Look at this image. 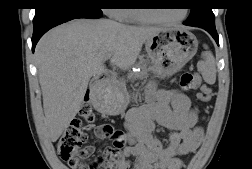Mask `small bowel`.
<instances>
[{
    "mask_svg": "<svg viewBox=\"0 0 252 169\" xmlns=\"http://www.w3.org/2000/svg\"><path fill=\"white\" fill-rule=\"evenodd\" d=\"M146 101L145 105L127 112L122 138L126 147L109 148L107 169H130V158L135 159L133 169H181L179 157L194 152L200 145L203 131L196 127L197 114L186 93L149 85ZM156 125L171 131L166 146L153 134ZM86 129L97 133L94 124L87 125Z\"/></svg>",
    "mask_w": 252,
    "mask_h": 169,
    "instance_id": "obj_1",
    "label": "small bowel"
}]
</instances>
